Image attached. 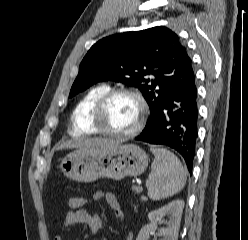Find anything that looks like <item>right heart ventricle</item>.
<instances>
[{"mask_svg": "<svg viewBox=\"0 0 248 240\" xmlns=\"http://www.w3.org/2000/svg\"><path fill=\"white\" fill-rule=\"evenodd\" d=\"M109 89L108 84L101 83L89 89L81 97L71 115L70 132L74 136H84L96 132L91 123L92 111L98 99Z\"/></svg>", "mask_w": 248, "mask_h": 240, "instance_id": "right-heart-ventricle-1", "label": "right heart ventricle"}]
</instances>
